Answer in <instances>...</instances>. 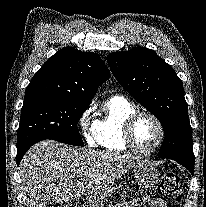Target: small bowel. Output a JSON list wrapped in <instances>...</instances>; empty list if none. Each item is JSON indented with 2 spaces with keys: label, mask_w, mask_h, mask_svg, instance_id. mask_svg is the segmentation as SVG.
<instances>
[{
  "label": "small bowel",
  "mask_w": 206,
  "mask_h": 207,
  "mask_svg": "<svg viewBox=\"0 0 206 207\" xmlns=\"http://www.w3.org/2000/svg\"><path fill=\"white\" fill-rule=\"evenodd\" d=\"M145 205L149 207H167L164 200L149 196H143L142 198L131 200L128 203L118 204L116 207H144Z\"/></svg>",
  "instance_id": "obj_1"
}]
</instances>
